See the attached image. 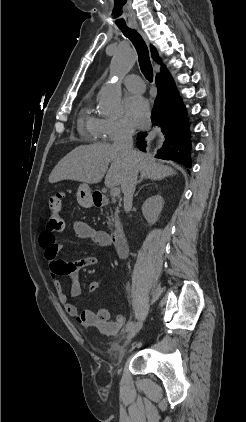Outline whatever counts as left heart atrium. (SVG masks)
Returning a JSON list of instances; mask_svg holds the SVG:
<instances>
[{
    "label": "left heart atrium",
    "mask_w": 246,
    "mask_h": 422,
    "mask_svg": "<svg viewBox=\"0 0 246 422\" xmlns=\"http://www.w3.org/2000/svg\"><path fill=\"white\" fill-rule=\"evenodd\" d=\"M125 119L134 127H144L149 122L150 107L148 101L138 95L125 99L123 104Z\"/></svg>",
    "instance_id": "1"
}]
</instances>
